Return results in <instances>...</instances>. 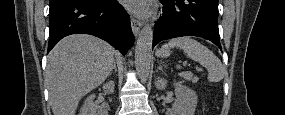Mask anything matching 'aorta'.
Segmentation results:
<instances>
[{
    "label": "aorta",
    "instance_id": "aorta-1",
    "mask_svg": "<svg viewBox=\"0 0 285 115\" xmlns=\"http://www.w3.org/2000/svg\"><path fill=\"white\" fill-rule=\"evenodd\" d=\"M153 30L146 24L140 31L135 49V66L141 79L146 80L150 73Z\"/></svg>",
    "mask_w": 285,
    "mask_h": 115
}]
</instances>
